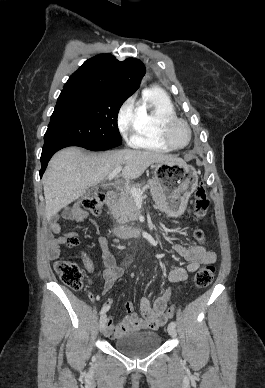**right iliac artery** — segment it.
I'll return each mask as SVG.
<instances>
[{"instance_id":"right-iliac-artery-1","label":"right iliac artery","mask_w":265,"mask_h":388,"mask_svg":"<svg viewBox=\"0 0 265 388\" xmlns=\"http://www.w3.org/2000/svg\"><path fill=\"white\" fill-rule=\"evenodd\" d=\"M109 310V307H103L100 311V315L105 314Z\"/></svg>"}]
</instances>
